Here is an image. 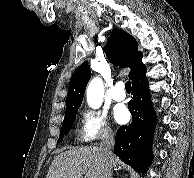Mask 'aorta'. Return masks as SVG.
I'll use <instances>...</instances> for the list:
<instances>
[{
	"label": "aorta",
	"mask_w": 194,
	"mask_h": 178,
	"mask_svg": "<svg viewBox=\"0 0 194 178\" xmlns=\"http://www.w3.org/2000/svg\"><path fill=\"white\" fill-rule=\"evenodd\" d=\"M87 102L93 109H98L103 101L104 87L103 81L99 77L92 79L87 87Z\"/></svg>",
	"instance_id": "obj_1"
}]
</instances>
